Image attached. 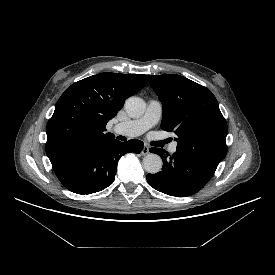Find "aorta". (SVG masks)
Returning <instances> with one entry per match:
<instances>
[{
	"label": "aorta",
	"instance_id": "762f6f07",
	"mask_svg": "<svg viewBox=\"0 0 275 275\" xmlns=\"http://www.w3.org/2000/svg\"><path fill=\"white\" fill-rule=\"evenodd\" d=\"M146 104L143 99L139 97H129L125 102V110L127 114L132 117H140L144 114ZM162 159L159 155L150 153L143 159L144 169L151 174H156L162 169Z\"/></svg>",
	"mask_w": 275,
	"mask_h": 275
}]
</instances>
